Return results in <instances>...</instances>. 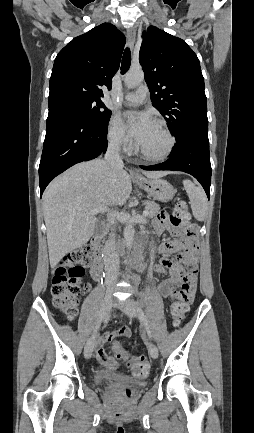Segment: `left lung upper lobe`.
Returning <instances> with one entry per match:
<instances>
[{
	"label": "left lung upper lobe",
	"mask_w": 254,
	"mask_h": 433,
	"mask_svg": "<svg viewBox=\"0 0 254 433\" xmlns=\"http://www.w3.org/2000/svg\"><path fill=\"white\" fill-rule=\"evenodd\" d=\"M139 62L152 105L175 138L192 129L208 131L204 78L199 59L188 44L150 26L143 33Z\"/></svg>",
	"instance_id": "1"
}]
</instances>
